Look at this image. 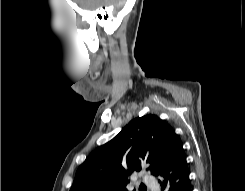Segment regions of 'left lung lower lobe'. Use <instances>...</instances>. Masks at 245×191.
Returning <instances> with one entry per match:
<instances>
[{
	"label": "left lung lower lobe",
	"instance_id": "1",
	"mask_svg": "<svg viewBox=\"0 0 245 191\" xmlns=\"http://www.w3.org/2000/svg\"><path fill=\"white\" fill-rule=\"evenodd\" d=\"M190 173L183 147L171 164L159 176L162 191H192Z\"/></svg>",
	"mask_w": 245,
	"mask_h": 191
}]
</instances>
